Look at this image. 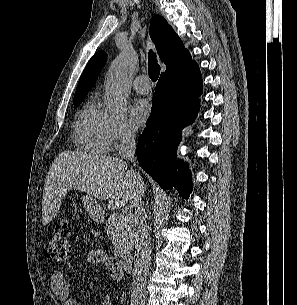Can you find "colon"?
I'll list each match as a JSON object with an SVG mask.
<instances>
[{"mask_svg": "<svg viewBox=\"0 0 297 305\" xmlns=\"http://www.w3.org/2000/svg\"><path fill=\"white\" fill-rule=\"evenodd\" d=\"M70 230L67 220H61L55 227L46 245V251L56 262H66L70 257Z\"/></svg>", "mask_w": 297, "mask_h": 305, "instance_id": "1", "label": "colon"}]
</instances>
